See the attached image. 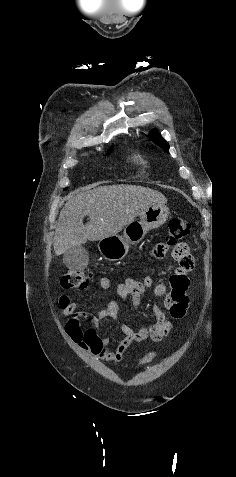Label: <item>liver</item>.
Listing matches in <instances>:
<instances>
[{
    "label": "liver",
    "mask_w": 236,
    "mask_h": 477,
    "mask_svg": "<svg viewBox=\"0 0 236 477\" xmlns=\"http://www.w3.org/2000/svg\"><path fill=\"white\" fill-rule=\"evenodd\" d=\"M166 203L162 193L135 185L98 186L74 193L58 218L53 240L55 254L61 255L87 241L117 235L150 206ZM85 216H89L86 225Z\"/></svg>",
    "instance_id": "liver-1"
}]
</instances>
